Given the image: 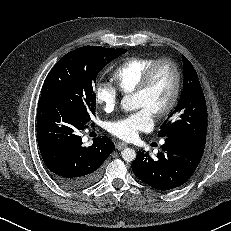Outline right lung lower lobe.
I'll list each match as a JSON object with an SVG mask.
<instances>
[{
	"instance_id": "right-lung-lower-lobe-1",
	"label": "right lung lower lobe",
	"mask_w": 231,
	"mask_h": 231,
	"mask_svg": "<svg viewBox=\"0 0 231 231\" xmlns=\"http://www.w3.org/2000/svg\"><path fill=\"white\" fill-rule=\"evenodd\" d=\"M36 117L38 145L51 177L70 190L95 182L103 162L115 148L114 143L101 136L85 147L79 132L87 124L56 99L40 97Z\"/></svg>"
}]
</instances>
